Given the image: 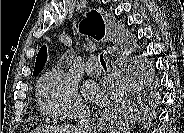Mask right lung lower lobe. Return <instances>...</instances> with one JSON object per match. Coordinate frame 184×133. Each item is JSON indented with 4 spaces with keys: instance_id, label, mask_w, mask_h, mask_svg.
I'll list each match as a JSON object with an SVG mask.
<instances>
[{
    "instance_id": "obj_1",
    "label": "right lung lower lobe",
    "mask_w": 184,
    "mask_h": 133,
    "mask_svg": "<svg viewBox=\"0 0 184 133\" xmlns=\"http://www.w3.org/2000/svg\"><path fill=\"white\" fill-rule=\"evenodd\" d=\"M128 40L129 39H127L125 34L122 32V34L120 36V44H121L122 49H123L125 55L127 56V58H129L130 56H132L134 54H138V53L132 52L130 46L128 45V42H127Z\"/></svg>"
}]
</instances>
